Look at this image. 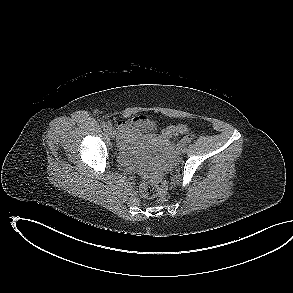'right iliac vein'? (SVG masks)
Here are the masks:
<instances>
[{
  "label": "right iliac vein",
  "mask_w": 293,
  "mask_h": 293,
  "mask_svg": "<svg viewBox=\"0 0 293 293\" xmlns=\"http://www.w3.org/2000/svg\"><path fill=\"white\" fill-rule=\"evenodd\" d=\"M107 132H108V134L110 135L111 138H115L116 133H115L113 128L108 127Z\"/></svg>",
  "instance_id": "right-iliac-vein-1"
}]
</instances>
